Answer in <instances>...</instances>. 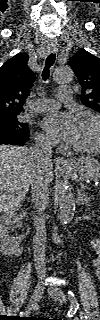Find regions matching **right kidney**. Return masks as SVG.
I'll return each mask as SVG.
<instances>
[{"mask_svg":"<svg viewBox=\"0 0 100 320\" xmlns=\"http://www.w3.org/2000/svg\"><path fill=\"white\" fill-rule=\"evenodd\" d=\"M12 227H22L19 216L15 211H5L0 218V243L1 251L5 254L13 255L20 251L19 245L22 241V236H10Z\"/></svg>","mask_w":100,"mask_h":320,"instance_id":"right-kidney-1","label":"right kidney"}]
</instances>
